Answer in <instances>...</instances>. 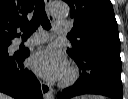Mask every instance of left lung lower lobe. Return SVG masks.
<instances>
[{
  "label": "left lung lower lobe",
  "mask_w": 128,
  "mask_h": 99,
  "mask_svg": "<svg viewBox=\"0 0 128 99\" xmlns=\"http://www.w3.org/2000/svg\"><path fill=\"white\" fill-rule=\"evenodd\" d=\"M73 59L80 69V77L73 86L58 93V99L82 94L123 99L120 47L98 45Z\"/></svg>",
  "instance_id": "0a47b994"
}]
</instances>
